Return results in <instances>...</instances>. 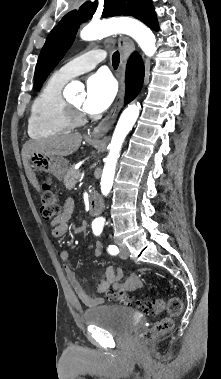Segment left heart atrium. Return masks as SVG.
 <instances>
[{
  "label": "left heart atrium",
  "mask_w": 221,
  "mask_h": 379,
  "mask_svg": "<svg viewBox=\"0 0 221 379\" xmlns=\"http://www.w3.org/2000/svg\"><path fill=\"white\" fill-rule=\"evenodd\" d=\"M116 91V83L109 74L98 72L90 76L86 83L84 110L92 114L103 112L113 102Z\"/></svg>",
  "instance_id": "left-heart-atrium-1"
}]
</instances>
